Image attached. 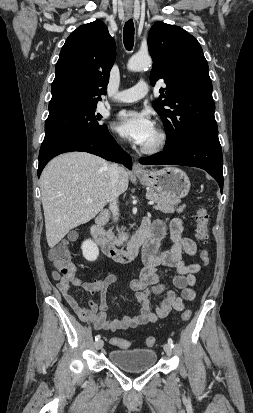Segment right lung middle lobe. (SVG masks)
<instances>
[{"label":"right lung middle lobe","instance_id":"dd1d6c3e","mask_svg":"<svg viewBox=\"0 0 253 413\" xmlns=\"http://www.w3.org/2000/svg\"><path fill=\"white\" fill-rule=\"evenodd\" d=\"M95 109H73L49 115L45 123L44 140L66 135H94L107 130Z\"/></svg>","mask_w":253,"mask_h":413}]
</instances>
